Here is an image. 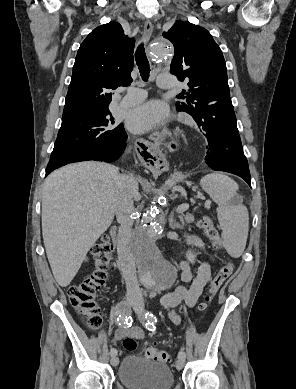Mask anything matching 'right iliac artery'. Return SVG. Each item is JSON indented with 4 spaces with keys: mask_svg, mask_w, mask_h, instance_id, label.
I'll return each mask as SVG.
<instances>
[{
    "mask_svg": "<svg viewBox=\"0 0 296 389\" xmlns=\"http://www.w3.org/2000/svg\"><path fill=\"white\" fill-rule=\"evenodd\" d=\"M126 308H129V307H128L127 303L124 302V301L120 302L117 305L116 313L119 314L118 317H117V323L119 325L126 324L125 313H124V310ZM110 354H111V356H116L117 355L116 349H111Z\"/></svg>",
    "mask_w": 296,
    "mask_h": 389,
    "instance_id": "obj_1",
    "label": "right iliac artery"
}]
</instances>
